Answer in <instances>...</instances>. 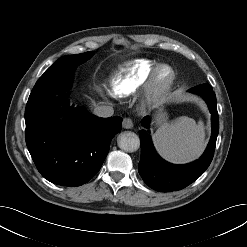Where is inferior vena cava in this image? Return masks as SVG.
<instances>
[{"mask_svg": "<svg viewBox=\"0 0 247 247\" xmlns=\"http://www.w3.org/2000/svg\"><path fill=\"white\" fill-rule=\"evenodd\" d=\"M94 114L98 117L107 118L114 114V110L111 106H98L94 109Z\"/></svg>", "mask_w": 247, "mask_h": 247, "instance_id": "602c4592", "label": "inferior vena cava"}]
</instances>
